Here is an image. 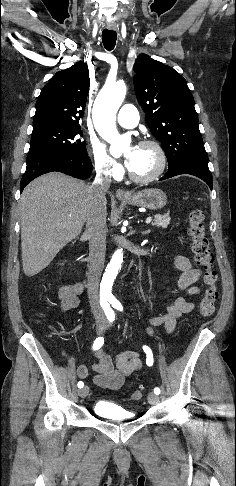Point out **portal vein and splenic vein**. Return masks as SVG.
Segmentation results:
<instances>
[{
  "label": "portal vein and splenic vein",
  "mask_w": 236,
  "mask_h": 486,
  "mask_svg": "<svg viewBox=\"0 0 236 486\" xmlns=\"http://www.w3.org/2000/svg\"><path fill=\"white\" fill-rule=\"evenodd\" d=\"M151 221H152V218H151V217H148V218L146 219V224H149Z\"/></svg>",
  "instance_id": "18ae733b"
}]
</instances>
